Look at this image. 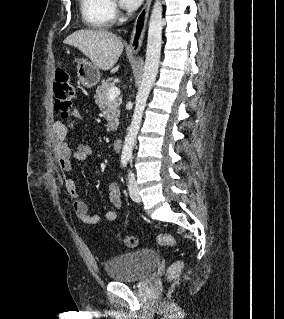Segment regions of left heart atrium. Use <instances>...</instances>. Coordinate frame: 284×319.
Instances as JSON below:
<instances>
[{
    "label": "left heart atrium",
    "instance_id": "39dd6f15",
    "mask_svg": "<svg viewBox=\"0 0 284 319\" xmlns=\"http://www.w3.org/2000/svg\"><path fill=\"white\" fill-rule=\"evenodd\" d=\"M142 2L143 0H119L120 5L129 11L137 9Z\"/></svg>",
    "mask_w": 284,
    "mask_h": 319
}]
</instances>
